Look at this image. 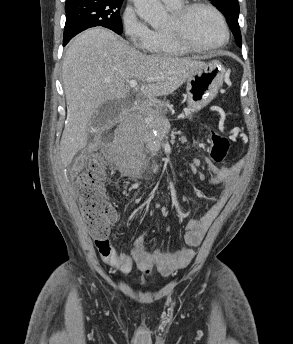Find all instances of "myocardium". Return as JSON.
<instances>
[{"label":"myocardium","mask_w":293,"mask_h":344,"mask_svg":"<svg viewBox=\"0 0 293 344\" xmlns=\"http://www.w3.org/2000/svg\"><path fill=\"white\" fill-rule=\"evenodd\" d=\"M196 8H205L211 11L218 19L224 34L223 39L219 43L212 46H197L193 44L185 35L183 28L185 18L190 11ZM171 15L173 18V26L170 29H165V32L176 44L187 51L196 53L214 52L224 47L230 39V31L224 15L217 7L209 2L203 0H194L190 3L183 4L176 9H173Z\"/></svg>","instance_id":"1"}]
</instances>
